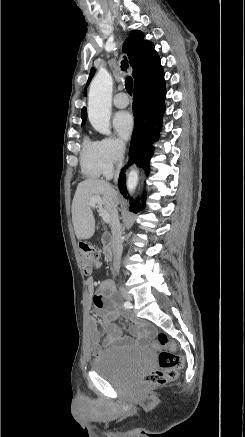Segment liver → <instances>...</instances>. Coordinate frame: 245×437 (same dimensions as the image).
Masks as SVG:
<instances>
[{"label": "liver", "instance_id": "1", "mask_svg": "<svg viewBox=\"0 0 245 437\" xmlns=\"http://www.w3.org/2000/svg\"><path fill=\"white\" fill-rule=\"evenodd\" d=\"M102 196L103 209L113 221L114 203L118 202V193L107 181L87 179L77 186L72 202V222L79 240L89 239L95 232V218L89 205L90 198ZM98 228V227H97Z\"/></svg>", "mask_w": 245, "mask_h": 437}]
</instances>
